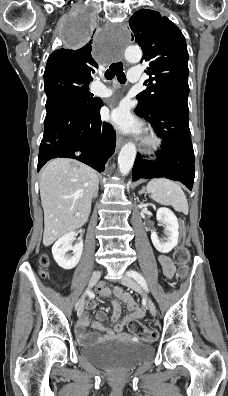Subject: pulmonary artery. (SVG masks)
<instances>
[{
    "label": "pulmonary artery",
    "instance_id": "1",
    "mask_svg": "<svg viewBox=\"0 0 228 396\" xmlns=\"http://www.w3.org/2000/svg\"><path fill=\"white\" fill-rule=\"evenodd\" d=\"M128 77L131 82H137L140 79V70L136 67L131 68L128 72ZM97 95L100 97H109L112 95V91L102 85H98L96 89Z\"/></svg>",
    "mask_w": 228,
    "mask_h": 396
}]
</instances>
